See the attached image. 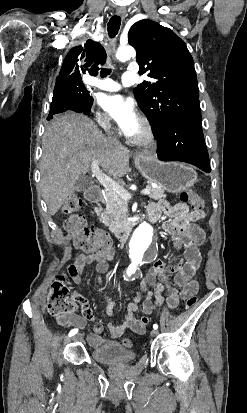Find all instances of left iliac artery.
I'll return each mask as SVG.
<instances>
[{
  "label": "left iliac artery",
  "mask_w": 247,
  "mask_h": 413,
  "mask_svg": "<svg viewBox=\"0 0 247 413\" xmlns=\"http://www.w3.org/2000/svg\"><path fill=\"white\" fill-rule=\"evenodd\" d=\"M153 328H154V329H157V328H158V325H157V324H154V325H153Z\"/></svg>",
  "instance_id": "44dca946"
}]
</instances>
